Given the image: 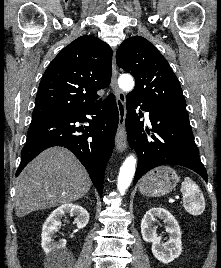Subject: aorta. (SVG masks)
Returning <instances> with one entry per match:
<instances>
[{
	"label": "aorta",
	"mask_w": 221,
	"mask_h": 268,
	"mask_svg": "<svg viewBox=\"0 0 221 268\" xmlns=\"http://www.w3.org/2000/svg\"><path fill=\"white\" fill-rule=\"evenodd\" d=\"M118 84L123 91L129 92L134 87V80L132 76L123 74L119 77ZM135 170L136 159L133 155H130L123 162L118 176L117 188L121 194H124L130 186L135 174Z\"/></svg>",
	"instance_id": "762f6f07"
}]
</instances>
